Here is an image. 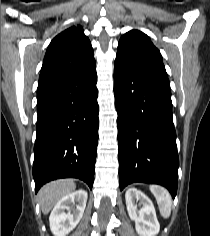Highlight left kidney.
I'll return each instance as SVG.
<instances>
[{"instance_id": "obj_1", "label": "left kidney", "mask_w": 210, "mask_h": 236, "mask_svg": "<svg viewBox=\"0 0 210 236\" xmlns=\"http://www.w3.org/2000/svg\"><path fill=\"white\" fill-rule=\"evenodd\" d=\"M129 217L135 221V228L140 236H156L160 225L151 200L138 189L131 187L125 193ZM142 207L138 210L135 203Z\"/></svg>"}]
</instances>
